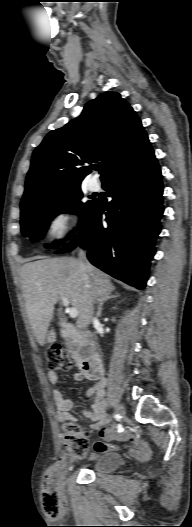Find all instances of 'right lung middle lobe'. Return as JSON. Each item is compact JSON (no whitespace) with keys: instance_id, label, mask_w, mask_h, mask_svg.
I'll return each instance as SVG.
<instances>
[{"instance_id":"dd1d6c3e","label":"right lung middle lobe","mask_w":192,"mask_h":527,"mask_svg":"<svg viewBox=\"0 0 192 527\" xmlns=\"http://www.w3.org/2000/svg\"><path fill=\"white\" fill-rule=\"evenodd\" d=\"M83 194L79 188L67 191L50 200L21 206V231L32 241L39 240L47 230L51 220L59 213L71 212L80 215V226L83 224L94 201L81 202ZM73 233L69 236L71 237ZM63 241L48 247H58Z\"/></svg>"}]
</instances>
